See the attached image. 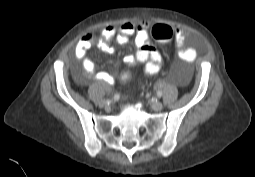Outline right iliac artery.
I'll return each mask as SVG.
<instances>
[{
	"mask_svg": "<svg viewBox=\"0 0 255 177\" xmlns=\"http://www.w3.org/2000/svg\"><path fill=\"white\" fill-rule=\"evenodd\" d=\"M119 98H120V96L118 94H115L114 97H113L114 101L119 100Z\"/></svg>",
	"mask_w": 255,
	"mask_h": 177,
	"instance_id": "1",
	"label": "right iliac artery"
}]
</instances>
